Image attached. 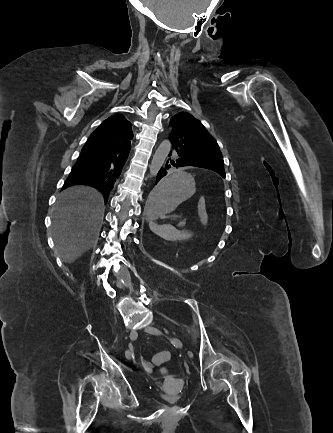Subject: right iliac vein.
Instances as JSON below:
<instances>
[{"label": "right iliac vein", "mask_w": 333, "mask_h": 433, "mask_svg": "<svg viewBox=\"0 0 333 433\" xmlns=\"http://www.w3.org/2000/svg\"><path fill=\"white\" fill-rule=\"evenodd\" d=\"M129 337H130V339L132 341H134L137 338V332L135 330H131L130 334H129ZM126 357H127V359H131L132 358V351L131 350H128L126 352Z\"/></svg>", "instance_id": "obj_1"}]
</instances>
